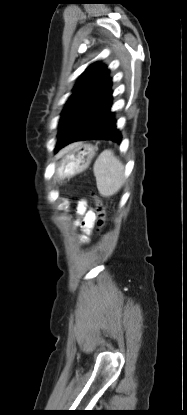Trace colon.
Returning <instances> with one entry per match:
<instances>
[{"label": "colon", "mask_w": 187, "mask_h": 415, "mask_svg": "<svg viewBox=\"0 0 187 415\" xmlns=\"http://www.w3.org/2000/svg\"><path fill=\"white\" fill-rule=\"evenodd\" d=\"M95 205H96V212L98 215V226H103L106 216H107V210H108L110 203L103 202L100 198L95 197Z\"/></svg>", "instance_id": "obj_1"}]
</instances>
